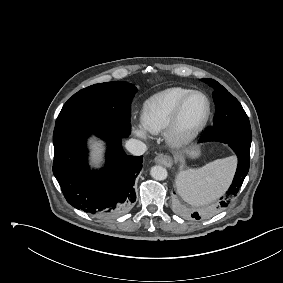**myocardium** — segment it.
Instances as JSON below:
<instances>
[{
  "instance_id": "myocardium-1",
  "label": "myocardium",
  "mask_w": 283,
  "mask_h": 283,
  "mask_svg": "<svg viewBox=\"0 0 283 283\" xmlns=\"http://www.w3.org/2000/svg\"><path fill=\"white\" fill-rule=\"evenodd\" d=\"M194 95L201 96L205 101L206 108H205L204 116L194 128H192L187 132H181L179 129V120H180L181 112L187 100ZM210 114H211V103L208 96L202 91L190 90L179 100V102L175 106L171 118L164 130V137L167 144L172 148H181L191 143L206 126Z\"/></svg>"
}]
</instances>
